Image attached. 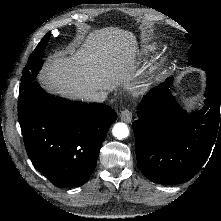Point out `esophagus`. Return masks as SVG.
I'll list each match as a JSON object with an SVG mask.
<instances>
[{
    "instance_id": "34e87169",
    "label": "esophagus",
    "mask_w": 221,
    "mask_h": 221,
    "mask_svg": "<svg viewBox=\"0 0 221 221\" xmlns=\"http://www.w3.org/2000/svg\"><path fill=\"white\" fill-rule=\"evenodd\" d=\"M120 119L126 123H130L132 121V112L129 109L122 110Z\"/></svg>"
}]
</instances>
